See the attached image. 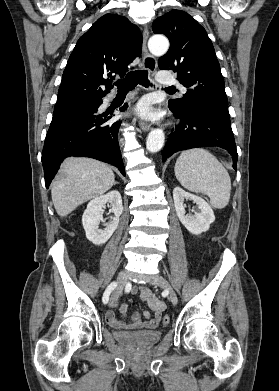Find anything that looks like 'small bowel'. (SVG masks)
Returning <instances> with one entry per match:
<instances>
[{
  "instance_id": "c3829d8e",
  "label": "small bowel",
  "mask_w": 279,
  "mask_h": 391,
  "mask_svg": "<svg viewBox=\"0 0 279 391\" xmlns=\"http://www.w3.org/2000/svg\"><path fill=\"white\" fill-rule=\"evenodd\" d=\"M132 293H140V296L143 301L148 305L149 311L144 312L146 320L139 318V314H134L131 321L124 323L121 320L117 319L114 311L109 310L106 312L107 322L116 329H153L156 328L161 319V314L165 310V304L159 298H157L150 289L145 287H132ZM118 308L119 312L122 314L126 313L127 306L125 303L119 304L117 301L113 305Z\"/></svg>"
}]
</instances>
